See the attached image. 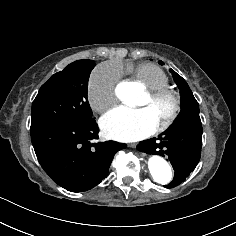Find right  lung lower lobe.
<instances>
[{
  "mask_svg": "<svg viewBox=\"0 0 236 236\" xmlns=\"http://www.w3.org/2000/svg\"><path fill=\"white\" fill-rule=\"evenodd\" d=\"M32 144L45 172L61 187L72 192L87 191L108 175L115 153L126 144L98 139L94 118L59 121L30 129Z\"/></svg>",
  "mask_w": 236,
  "mask_h": 236,
  "instance_id": "1",
  "label": "right lung lower lobe"
}]
</instances>
